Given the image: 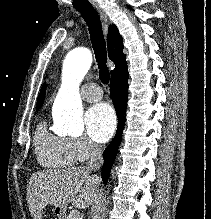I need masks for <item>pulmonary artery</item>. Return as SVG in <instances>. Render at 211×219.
Listing matches in <instances>:
<instances>
[{"mask_svg":"<svg viewBox=\"0 0 211 219\" xmlns=\"http://www.w3.org/2000/svg\"><path fill=\"white\" fill-rule=\"evenodd\" d=\"M103 92L99 85L95 83H88L84 85V90L82 93L83 99L89 102H95L102 98Z\"/></svg>","mask_w":211,"mask_h":219,"instance_id":"e3ab8cb5","label":"pulmonary artery"}]
</instances>
